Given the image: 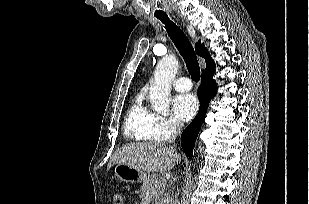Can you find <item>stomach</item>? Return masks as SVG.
<instances>
[{
	"label": "stomach",
	"instance_id": "stomach-1",
	"mask_svg": "<svg viewBox=\"0 0 309 204\" xmlns=\"http://www.w3.org/2000/svg\"><path fill=\"white\" fill-rule=\"evenodd\" d=\"M114 174L120 181L127 183H141L148 176L144 171L137 170L127 164H116Z\"/></svg>",
	"mask_w": 309,
	"mask_h": 204
}]
</instances>
